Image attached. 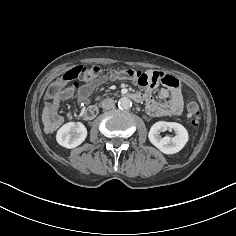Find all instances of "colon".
I'll use <instances>...</instances> for the list:
<instances>
[{"instance_id": "5ec220e1", "label": "colon", "mask_w": 236, "mask_h": 236, "mask_svg": "<svg viewBox=\"0 0 236 236\" xmlns=\"http://www.w3.org/2000/svg\"><path fill=\"white\" fill-rule=\"evenodd\" d=\"M103 69L98 66H84L79 65L71 68L67 72H65L60 81L52 84L48 89V98L51 101H60L63 96V92L66 89L62 87L67 85L70 90H77L80 87V82L92 83L97 76L102 73ZM110 77L112 79H131L134 77L139 78V82L141 85H146L148 82V77L145 73L135 72L132 69H121V70H111L109 72ZM178 84V81L169 77L166 80V85L170 87H174ZM187 113L191 120V124L194 127H197L200 123V108L199 106L191 102L187 105Z\"/></svg>"}]
</instances>
